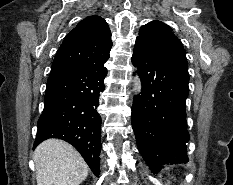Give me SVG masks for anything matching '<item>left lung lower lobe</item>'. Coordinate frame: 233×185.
Masks as SVG:
<instances>
[{
    "label": "left lung lower lobe",
    "mask_w": 233,
    "mask_h": 185,
    "mask_svg": "<svg viewBox=\"0 0 233 185\" xmlns=\"http://www.w3.org/2000/svg\"><path fill=\"white\" fill-rule=\"evenodd\" d=\"M131 60L142 79V92L134 97L131 115L142 157L154 173L165 164L187 163V62L159 53L138 40Z\"/></svg>",
    "instance_id": "0a47b994"
}]
</instances>
